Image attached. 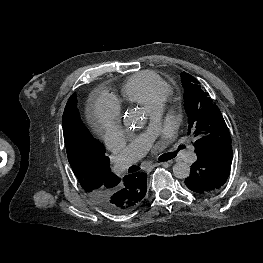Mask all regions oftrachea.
<instances>
[{"instance_id": "1", "label": "trachea", "mask_w": 263, "mask_h": 263, "mask_svg": "<svg viewBox=\"0 0 263 263\" xmlns=\"http://www.w3.org/2000/svg\"><path fill=\"white\" fill-rule=\"evenodd\" d=\"M176 152H172V153H166V154H163L159 157V160L160 161H167V160H171L173 158L176 157ZM140 168L138 166H132L130 167V170L131 172H135V171H138Z\"/></svg>"}]
</instances>
